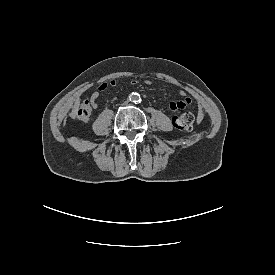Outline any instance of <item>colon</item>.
<instances>
[{"mask_svg": "<svg viewBox=\"0 0 275 275\" xmlns=\"http://www.w3.org/2000/svg\"><path fill=\"white\" fill-rule=\"evenodd\" d=\"M110 86H115L116 81L109 82ZM108 86V84H107ZM92 106L90 98L85 97L81 105L75 110L74 116L79 120H87L91 115ZM174 125L182 132L192 131L195 124V117L192 113H183L173 118Z\"/></svg>", "mask_w": 275, "mask_h": 275, "instance_id": "1", "label": "colon"}]
</instances>
